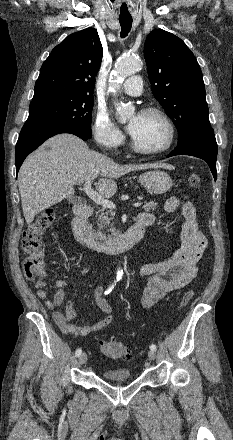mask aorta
Returning <instances> with one entry per match:
<instances>
[{"instance_id":"aorta-1","label":"aorta","mask_w":233,"mask_h":440,"mask_svg":"<svg viewBox=\"0 0 233 440\" xmlns=\"http://www.w3.org/2000/svg\"><path fill=\"white\" fill-rule=\"evenodd\" d=\"M140 67L139 60L134 56H122L120 60L116 63L114 68V73L112 80L109 84V89L111 92L116 94L119 89V83L126 77L134 74ZM116 113L119 117V121L124 123L128 118L134 115L135 108L132 105H125L115 103ZM123 274L122 270L117 271V277H121Z\"/></svg>"}]
</instances>
